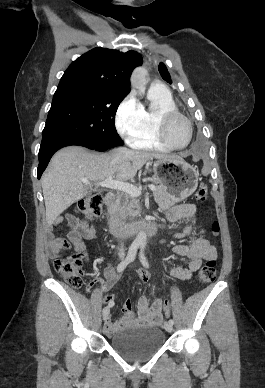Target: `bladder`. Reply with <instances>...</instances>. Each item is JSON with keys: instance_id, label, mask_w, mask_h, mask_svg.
Returning <instances> with one entry per match:
<instances>
[{"instance_id": "1", "label": "bladder", "mask_w": 265, "mask_h": 388, "mask_svg": "<svg viewBox=\"0 0 265 388\" xmlns=\"http://www.w3.org/2000/svg\"><path fill=\"white\" fill-rule=\"evenodd\" d=\"M165 334L157 327L132 328L111 337V347L123 357L143 360L162 347Z\"/></svg>"}]
</instances>
